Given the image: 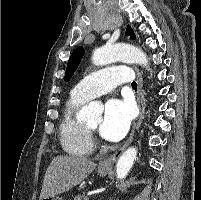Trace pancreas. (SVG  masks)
Masks as SVG:
<instances>
[{
  "label": "pancreas",
  "instance_id": "1",
  "mask_svg": "<svg viewBox=\"0 0 201 200\" xmlns=\"http://www.w3.org/2000/svg\"><path fill=\"white\" fill-rule=\"evenodd\" d=\"M74 200H88V197L85 195H78L75 197Z\"/></svg>",
  "mask_w": 201,
  "mask_h": 200
}]
</instances>
